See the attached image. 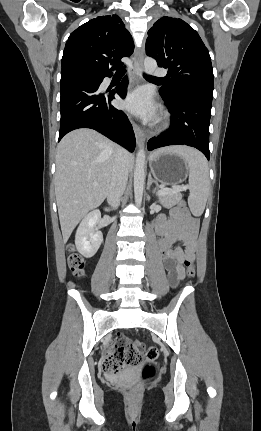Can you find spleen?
I'll return each instance as SVG.
<instances>
[{
  "label": "spleen",
  "instance_id": "obj_1",
  "mask_svg": "<svg viewBox=\"0 0 261 431\" xmlns=\"http://www.w3.org/2000/svg\"><path fill=\"white\" fill-rule=\"evenodd\" d=\"M162 152L176 154L187 163L190 187L188 205L194 215H201L205 209L210 188L209 170L205 157L199 151L186 146L166 147L153 154Z\"/></svg>",
  "mask_w": 261,
  "mask_h": 431
}]
</instances>
